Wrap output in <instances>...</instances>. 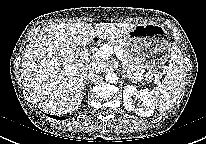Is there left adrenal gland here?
<instances>
[{"instance_id":"1","label":"left adrenal gland","mask_w":206,"mask_h":144,"mask_svg":"<svg viewBox=\"0 0 206 144\" xmlns=\"http://www.w3.org/2000/svg\"><path fill=\"white\" fill-rule=\"evenodd\" d=\"M124 78H129V79H131L128 75H126V74H123L122 75ZM132 80V82H134V80L133 79H131Z\"/></svg>"}]
</instances>
